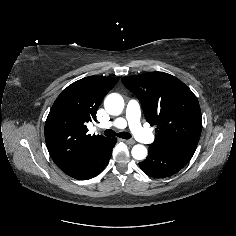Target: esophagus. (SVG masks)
<instances>
[{"label":"esophagus","mask_w":236,"mask_h":236,"mask_svg":"<svg viewBox=\"0 0 236 236\" xmlns=\"http://www.w3.org/2000/svg\"><path fill=\"white\" fill-rule=\"evenodd\" d=\"M124 142H125L126 144H129V145H133V144H135V141L132 140V139L124 140Z\"/></svg>","instance_id":"esophagus-1"}]
</instances>
